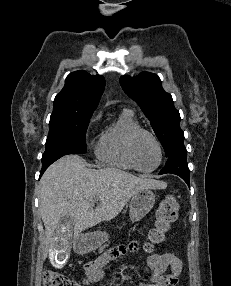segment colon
I'll list each match as a JSON object with an SVG mask.
<instances>
[{
	"label": "colon",
	"instance_id": "5ec220e1",
	"mask_svg": "<svg viewBox=\"0 0 231 286\" xmlns=\"http://www.w3.org/2000/svg\"><path fill=\"white\" fill-rule=\"evenodd\" d=\"M179 214V206L173 196L165 197L156 211L154 227L148 233V241L145 244L146 252H153L156 245L163 243L167 233L176 222ZM43 286H82L68 276L49 270L44 274Z\"/></svg>",
	"mask_w": 231,
	"mask_h": 286
}]
</instances>
